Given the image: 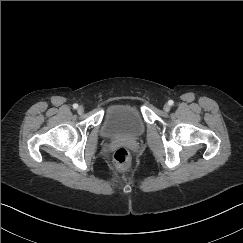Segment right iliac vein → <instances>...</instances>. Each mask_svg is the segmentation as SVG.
Masks as SVG:
<instances>
[{"mask_svg":"<svg viewBox=\"0 0 243 243\" xmlns=\"http://www.w3.org/2000/svg\"><path fill=\"white\" fill-rule=\"evenodd\" d=\"M83 111H84V108L82 106H79L77 109V112L81 114V113H83Z\"/></svg>","mask_w":243,"mask_h":243,"instance_id":"1","label":"right iliac vein"}]
</instances>
